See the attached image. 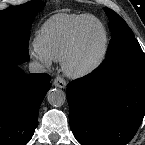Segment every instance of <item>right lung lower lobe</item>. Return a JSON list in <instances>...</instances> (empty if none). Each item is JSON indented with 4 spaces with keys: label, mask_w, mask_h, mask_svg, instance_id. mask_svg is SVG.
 Masks as SVG:
<instances>
[{
    "label": "right lung lower lobe",
    "mask_w": 145,
    "mask_h": 145,
    "mask_svg": "<svg viewBox=\"0 0 145 145\" xmlns=\"http://www.w3.org/2000/svg\"><path fill=\"white\" fill-rule=\"evenodd\" d=\"M48 74L26 75L19 65L0 67V145H26L38 125Z\"/></svg>",
    "instance_id": "right-lung-lower-lobe-1"
}]
</instances>
